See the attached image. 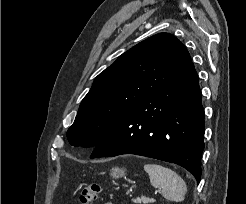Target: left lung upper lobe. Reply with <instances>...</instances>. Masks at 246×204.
I'll return each instance as SVG.
<instances>
[{"label":"left lung upper lobe","mask_w":246,"mask_h":204,"mask_svg":"<svg viewBox=\"0 0 246 204\" xmlns=\"http://www.w3.org/2000/svg\"><path fill=\"white\" fill-rule=\"evenodd\" d=\"M191 58L169 33H159L122 54L95 79L67 131L71 145L95 147L133 108L161 88Z\"/></svg>","instance_id":"obj_1"}]
</instances>
